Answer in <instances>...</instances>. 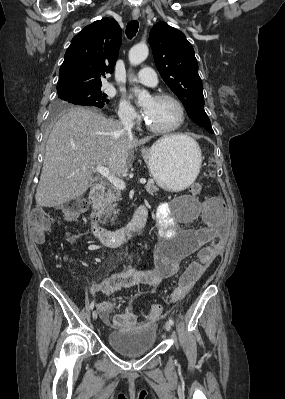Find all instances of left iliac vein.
<instances>
[{"instance_id":"left-iliac-vein-1","label":"left iliac vein","mask_w":285,"mask_h":399,"mask_svg":"<svg viewBox=\"0 0 285 399\" xmlns=\"http://www.w3.org/2000/svg\"><path fill=\"white\" fill-rule=\"evenodd\" d=\"M164 328H165L166 331L169 332L171 330V324L169 322H165Z\"/></svg>"}]
</instances>
